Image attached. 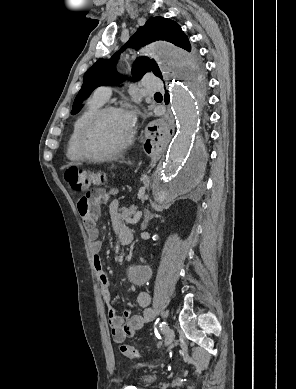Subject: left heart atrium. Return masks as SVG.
<instances>
[{
    "mask_svg": "<svg viewBox=\"0 0 296 389\" xmlns=\"http://www.w3.org/2000/svg\"><path fill=\"white\" fill-rule=\"evenodd\" d=\"M127 115H128V117H129V119H130V122L133 123V122H134V119H135L134 113H128Z\"/></svg>",
    "mask_w": 296,
    "mask_h": 389,
    "instance_id": "1",
    "label": "left heart atrium"
}]
</instances>
